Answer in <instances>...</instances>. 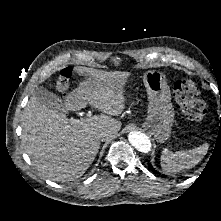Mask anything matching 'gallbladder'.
Here are the masks:
<instances>
[{
    "label": "gallbladder",
    "instance_id": "bac80fb5",
    "mask_svg": "<svg viewBox=\"0 0 221 221\" xmlns=\"http://www.w3.org/2000/svg\"><path fill=\"white\" fill-rule=\"evenodd\" d=\"M34 95L38 98L39 102L49 109L56 110L58 112L67 113L65 104L54 93L48 91L45 87H37L34 90Z\"/></svg>",
    "mask_w": 221,
    "mask_h": 221
}]
</instances>
